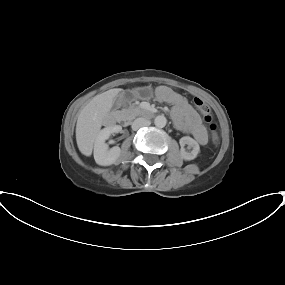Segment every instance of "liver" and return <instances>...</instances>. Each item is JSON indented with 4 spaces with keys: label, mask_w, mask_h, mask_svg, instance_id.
Instances as JSON below:
<instances>
[{
    "label": "liver",
    "mask_w": 285,
    "mask_h": 285,
    "mask_svg": "<svg viewBox=\"0 0 285 285\" xmlns=\"http://www.w3.org/2000/svg\"><path fill=\"white\" fill-rule=\"evenodd\" d=\"M118 92L119 89H110L98 94L80 111L76 124V141L83 155L92 154L93 144Z\"/></svg>",
    "instance_id": "6515ba94"
}]
</instances>
